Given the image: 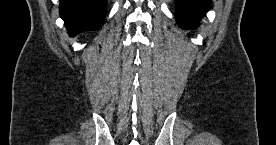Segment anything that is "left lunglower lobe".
<instances>
[{"mask_svg": "<svg viewBox=\"0 0 276 145\" xmlns=\"http://www.w3.org/2000/svg\"><path fill=\"white\" fill-rule=\"evenodd\" d=\"M210 0H176V20L183 29H195L208 11Z\"/></svg>", "mask_w": 276, "mask_h": 145, "instance_id": "obj_1", "label": "left lung lower lobe"}]
</instances>
